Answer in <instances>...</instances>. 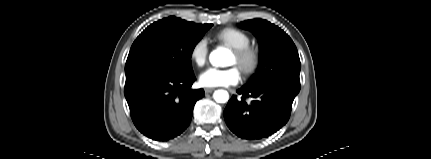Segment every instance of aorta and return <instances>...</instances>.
Returning <instances> with one entry per match:
<instances>
[{"label":"aorta","instance_id":"obj_1","mask_svg":"<svg viewBox=\"0 0 431 159\" xmlns=\"http://www.w3.org/2000/svg\"><path fill=\"white\" fill-rule=\"evenodd\" d=\"M228 51L224 48H218L210 53L209 60L213 66H226L225 58ZM214 100L218 103H226L229 99V94L225 90H216L213 94Z\"/></svg>","mask_w":431,"mask_h":159}]
</instances>
